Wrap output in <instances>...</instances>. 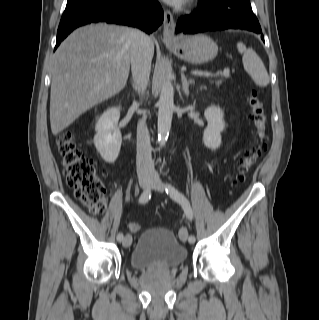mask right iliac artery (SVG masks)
<instances>
[{"instance_id":"82829eb1","label":"right iliac artery","mask_w":319,"mask_h":320,"mask_svg":"<svg viewBox=\"0 0 319 320\" xmlns=\"http://www.w3.org/2000/svg\"><path fill=\"white\" fill-rule=\"evenodd\" d=\"M150 197H151V190H150V188H147V189L144 190L143 193L141 194V196H140V198H139V203L144 204V203L148 202L149 199H150ZM117 240H118L119 242H121V241L123 240V234H122V233H119V234L117 235Z\"/></svg>"}]
</instances>
